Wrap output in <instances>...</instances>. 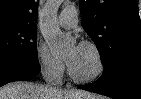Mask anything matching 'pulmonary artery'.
<instances>
[{"mask_svg":"<svg viewBox=\"0 0 141 99\" xmlns=\"http://www.w3.org/2000/svg\"><path fill=\"white\" fill-rule=\"evenodd\" d=\"M77 23L78 16L76 9L73 6H68L64 8L58 18L59 26L65 29H70L75 27Z\"/></svg>","mask_w":141,"mask_h":99,"instance_id":"e3ab8cb5","label":"pulmonary artery"}]
</instances>
